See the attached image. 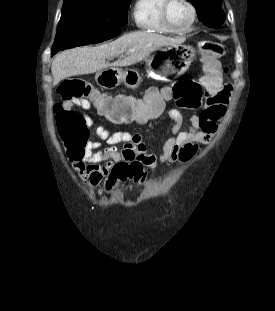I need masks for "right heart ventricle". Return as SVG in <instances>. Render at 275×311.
<instances>
[{"mask_svg": "<svg viewBox=\"0 0 275 311\" xmlns=\"http://www.w3.org/2000/svg\"><path fill=\"white\" fill-rule=\"evenodd\" d=\"M163 3L164 0H136L132 10L136 27L148 33L171 34L162 21Z\"/></svg>", "mask_w": 275, "mask_h": 311, "instance_id": "right-heart-ventricle-1", "label": "right heart ventricle"}]
</instances>
